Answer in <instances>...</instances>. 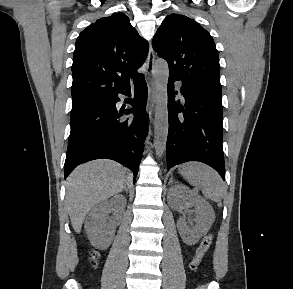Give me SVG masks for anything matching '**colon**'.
<instances>
[{"label": "colon", "mask_w": 293, "mask_h": 289, "mask_svg": "<svg viewBox=\"0 0 293 289\" xmlns=\"http://www.w3.org/2000/svg\"><path fill=\"white\" fill-rule=\"evenodd\" d=\"M213 241V235L212 233H209L207 235H205L200 243V245L198 246L196 253L193 257V259L190 262V267L192 270H197L201 260L204 256V254L206 253V251L209 249L210 245L212 244ZM90 262L92 264H95L97 259H98V253L96 251H91L90 253Z\"/></svg>", "instance_id": "1"}]
</instances>
